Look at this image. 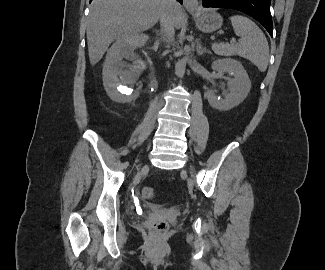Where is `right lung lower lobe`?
<instances>
[{
  "label": "right lung lower lobe",
  "instance_id": "1",
  "mask_svg": "<svg viewBox=\"0 0 325 270\" xmlns=\"http://www.w3.org/2000/svg\"><path fill=\"white\" fill-rule=\"evenodd\" d=\"M90 1H92V0H90ZM178 2H180L181 4H182V2H183V0H177Z\"/></svg>",
  "mask_w": 325,
  "mask_h": 270
}]
</instances>
